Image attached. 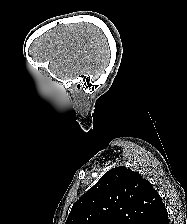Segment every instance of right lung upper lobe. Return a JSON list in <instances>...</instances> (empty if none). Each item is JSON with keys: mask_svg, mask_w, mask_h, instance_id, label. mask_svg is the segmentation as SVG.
<instances>
[{"mask_svg": "<svg viewBox=\"0 0 187 224\" xmlns=\"http://www.w3.org/2000/svg\"><path fill=\"white\" fill-rule=\"evenodd\" d=\"M166 215L151 183L121 166L106 172L74 203L65 224H159Z\"/></svg>", "mask_w": 187, "mask_h": 224, "instance_id": "obj_1", "label": "right lung upper lobe"}]
</instances>
